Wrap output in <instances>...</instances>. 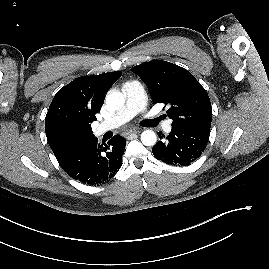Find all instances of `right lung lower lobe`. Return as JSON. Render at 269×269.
<instances>
[{
    "label": "right lung lower lobe",
    "mask_w": 269,
    "mask_h": 269,
    "mask_svg": "<svg viewBox=\"0 0 269 269\" xmlns=\"http://www.w3.org/2000/svg\"><path fill=\"white\" fill-rule=\"evenodd\" d=\"M125 145L120 135L107 144H98L94 137L58 162L70 177L83 184H104L120 169Z\"/></svg>",
    "instance_id": "right-lung-lower-lobe-1"
}]
</instances>
